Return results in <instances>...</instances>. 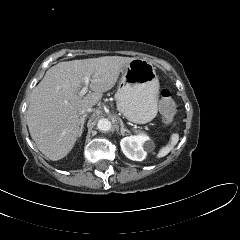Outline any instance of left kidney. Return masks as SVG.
Masks as SVG:
<instances>
[{
    "label": "left kidney",
    "instance_id": "1",
    "mask_svg": "<svg viewBox=\"0 0 240 240\" xmlns=\"http://www.w3.org/2000/svg\"><path fill=\"white\" fill-rule=\"evenodd\" d=\"M149 137L146 135L128 136L120 141L124 155L134 161H143L147 151L151 149Z\"/></svg>",
    "mask_w": 240,
    "mask_h": 240
}]
</instances>
